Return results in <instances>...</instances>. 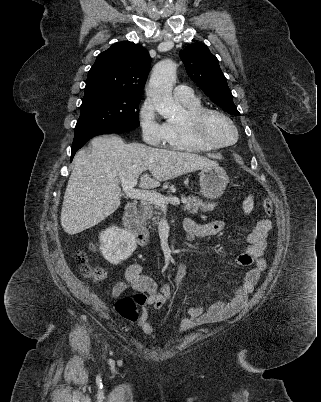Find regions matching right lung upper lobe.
I'll return each mask as SVG.
<instances>
[{
  "label": "right lung upper lobe",
  "mask_w": 321,
  "mask_h": 402,
  "mask_svg": "<svg viewBox=\"0 0 321 402\" xmlns=\"http://www.w3.org/2000/svg\"><path fill=\"white\" fill-rule=\"evenodd\" d=\"M151 57L141 45L118 42L100 53L88 73L85 90L100 89L142 97Z\"/></svg>",
  "instance_id": "1"
}]
</instances>
